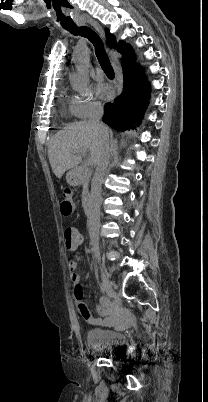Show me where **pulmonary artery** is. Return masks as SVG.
Wrapping results in <instances>:
<instances>
[{"mask_svg": "<svg viewBox=\"0 0 208 402\" xmlns=\"http://www.w3.org/2000/svg\"><path fill=\"white\" fill-rule=\"evenodd\" d=\"M81 53H79L78 56H80ZM98 76H103L105 74V69L103 67H98L96 70H93Z\"/></svg>", "mask_w": 208, "mask_h": 402, "instance_id": "pulmonary-artery-1", "label": "pulmonary artery"}]
</instances>
